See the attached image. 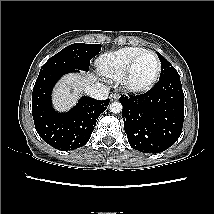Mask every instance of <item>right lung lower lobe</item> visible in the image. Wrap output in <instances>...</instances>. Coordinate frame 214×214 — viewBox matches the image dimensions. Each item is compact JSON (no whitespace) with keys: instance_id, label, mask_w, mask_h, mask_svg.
<instances>
[{"instance_id":"right-lung-lower-lobe-1","label":"right lung lower lobe","mask_w":214,"mask_h":214,"mask_svg":"<svg viewBox=\"0 0 214 214\" xmlns=\"http://www.w3.org/2000/svg\"><path fill=\"white\" fill-rule=\"evenodd\" d=\"M79 72L71 69H49L39 73L32 93V115L36 131L49 145L60 150H74L86 144L99 115L109 99L99 101L83 97L66 113L56 112L51 103V92L65 74Z\"/></svg>"}]
</instances>
